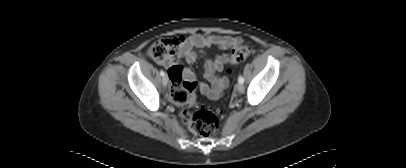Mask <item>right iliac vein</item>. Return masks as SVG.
Segmentation results:
<instances>
[{
  "instance_id": "obj_1",
  "label": "right iliac vein",
  "mask_w": 406,
  "mask_h": 168,
  "mask_svg": "<svg viewBox=\"0 0 406 168\" xmlns=\"http://www.w3.org/2000/svg\"><path fill=\"white\" fill-rule=\"evenodd\" d=\"M162 84H163L164 87L167 86V84H168V76H167V75H164V76H163V78H162Z\"/></svg>"
}]
</instances>
